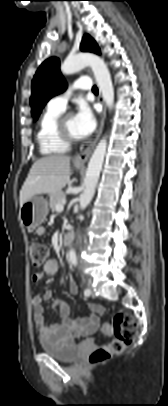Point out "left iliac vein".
I'll return each mask as SVG.
<instances>
[{"label":"left iliac vein","mask_w":168,"mask_h":406,"mask_svg":"<svg viewBox=\"0 0 168 406\" xmlns=\"http://www.w3.org/2000/svg\"><path fill=\"white\" fill-rule=\"evenodd\" d=\"M91 289V288H90ZM92 296H94L93 292L91 293Z\"/></svg>","instance_id":"4c4485c4"}]
</instances>
